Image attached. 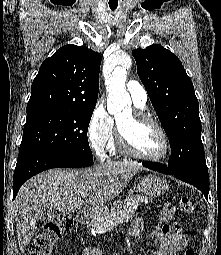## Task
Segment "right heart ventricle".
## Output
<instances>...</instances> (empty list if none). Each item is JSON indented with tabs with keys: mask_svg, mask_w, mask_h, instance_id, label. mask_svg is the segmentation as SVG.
I'll return each instance as SVG.
<instances>
[{
	"mask_svg": "<svg viewBox=\"0 0 221 255\" xmlns=\"http://www.w3.org/2000/svg\"><path fill=\"white\" fill-rule=\"evenodd\" d=\"M139 108H143V107H139ZM107 150L109 151L110 154L115 155V154H121L123 151L120 149L118 142H117V138L116 136L113 134L109 145L107 147Z\"/></svg>",
	"mask_w": 221,
	"mask_h": 255,
	"instance_id": "right-heart-ventricle-1",
	"label": "right heart ventricle"
}]
</instances>
